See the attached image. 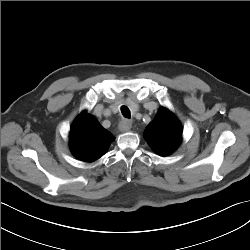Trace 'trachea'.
<instances>
[{"mask_svg": "<svg viewBox=\"0 0 250 250\" xmlns=\"http://www.w3.org/2000/svg\"><path fill=\"white\" fill-rule=\"evenodd\" d=\"M121 112H122V115H123L125 118L130 119V117H131V115H130V110H129L126 106H122V107H121Z\"/></svg>", "mask_w": 250, "mask_h": 250, "instance_id": "1", "label": "trachea"}]
</instances>
